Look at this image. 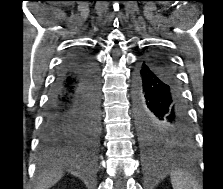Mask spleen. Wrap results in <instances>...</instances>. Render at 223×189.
<instances>
[{
    "instance_id": "obj_1",
    "label": "spleen",
    "mask_w": 223,
    "mask_h": 189,
    "mask_svg": "<svg viewBox=\"0 0 223 189\" xmlns=\"http://www.w3.org/2000/svg\"><path fill=\"white\" fill-rule=\"evenodd\" d=\"M171 182L174 189H192L194 186L192 178L183 173H174Z\"/></svg>"
}]
</instances>
